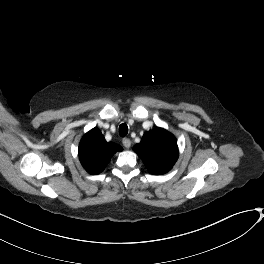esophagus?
<instances>
[{"instance_id": "1", "label": "esophagus", "mask_w": 264, "mask_h": 264, "mask_svg": "<svg viewBox=\"0 0 264 264\" xmlns=\"http://www.w3.org/2000/svg\"><path fill=\"white\" fill-rule=\"evenodd\" d=\"M122 143L126 148H130L131 146V141L129 138H123Z\"/></svg>"}]
</instances>
